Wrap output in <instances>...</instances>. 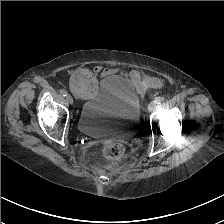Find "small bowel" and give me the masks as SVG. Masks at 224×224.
I'll return each mask as SVG.
<instances>
[{
  "instance_id": "1",
  "label": "small bowel",
  "mask_w": 224,
  "mask_h": 224,
  "mask_svg": "<svg viewBox=\"0 0 224 224\" xmlns=\"http://www.w3.org/2000/svg\"><path fill=\"white\" fill-rule=\"evenodd\" d=\"M96 75L105 77L112 75L114 73L119 72L118 68L115 67H102L101 65H95L91 69ZM123 75L127 76L133 85V87L138 92H143L147 89L151 88H160L162 86V82L154 77L141 75L138 71L132 70L127 73H122Z\"/></svg>"
}]
</instances>
